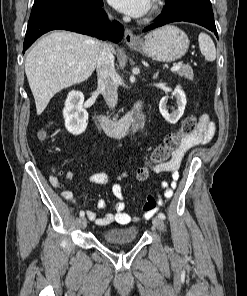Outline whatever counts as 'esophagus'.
I'll use <instances>...</instances> for the list:
<instances>
[{"mask_svg": "<svg viewBox=\"0 0 247 296\" xmlns=\"http://www.w3.org/2000/svg\"><path fill=\"white\" fill-rule=\"evenodd\" d=\"M125 42L127 44H135L139 41V39L133 34V32L130 29L125 30V35H124Z\"/></svg>", "mask_w": 247, "mask_h": 296, "instance_id": "34e87169", "label": "esophagus"}]
</instances>
